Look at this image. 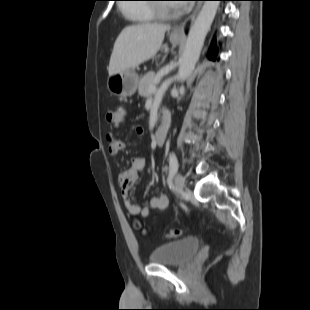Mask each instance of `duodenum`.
Segmentation results:
<instances>
[{
    "instance_id": "1",
    "label": "duodenum",
    "mask_w": 310,
    "mask_h": 310,
    "mask_svg": "<svg viewBox=\"0 0 310 310\" xmlns=\"http://www.w3.org/2000/svg\"><path fill=\"white\" fill-rule=\"evenodd\" d=\"M169 130H170V122L167 113L163 112L161 125L155 133V142L157 145L160 146L165 142Z\"/></svg>"
}]
</instances>
